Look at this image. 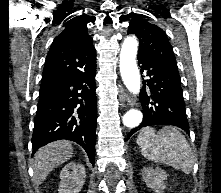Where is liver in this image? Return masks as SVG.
I'll use <instances>...</instances> for the list:
<instances>
[{
	"label": "liver",
	"instance_id": "1",
	"mask_svg": "<svg viewBox=\"0 0 221 193\" xmlns=\"http://www.w3.org/2000/svg\"><path fill=\"white\" fill-rule=\"evenodd\" d=\"M71 142L57 140L41 147L34 156V184L39 186L47 178L48 174L60 164L65 163L73 156Z\"/></svg>",
	"mask_w": 221,
	"mask_h": 193
}]
</instances>
